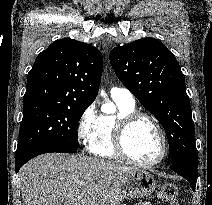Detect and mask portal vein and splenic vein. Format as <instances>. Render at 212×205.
Instances as JSON below:
<instances>
[{"label":"portal vein and splenic vein","instance_id":"portal-vein-and-splenic-vein-1","mask_svg":"<svg viewBox=\"0 0 212 205\" xmlns=\"http://www.w3.org/2000/svg\"><path fill=\"white\" fill-rule=\"evenodd\" d=\"M86 184H87V183H85V182H81V183H80L81 186H85Z\"/></svg>","mask_w":212,"mask_h":205}]
</instances>
